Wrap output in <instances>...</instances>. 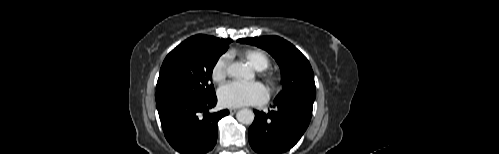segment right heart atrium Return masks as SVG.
I'll return each mask as SVG.
<instances>
[{"label": "right heart atrium", "mask_w": 499, "mask_h": 154, "mask_svg": "<svg viewBox=\"0 0 499 154\" xmlns=\"http://www.w3.org/2000/svg\"><path fill=\"white\" fill-rule=\"evenodd\" d=\"M228 71V60L225 57L217 59L211 69V78L214 82L224 81Z\"/></svg>", "instance_id": "d8ad5b80"}]
</instances>
